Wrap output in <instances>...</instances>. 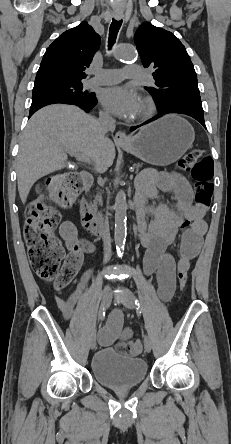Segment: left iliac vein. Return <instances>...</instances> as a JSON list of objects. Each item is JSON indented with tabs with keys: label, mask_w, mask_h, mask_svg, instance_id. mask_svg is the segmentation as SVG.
<instances>
[{
	"label": "left iliac vein",
	"mask_w": 231,
	"mask_h": 444,
	"mask_svg": "<svg viewBox=\"0 0 231 444\" xmlns=\"http://www.w3.org/2000/svg\"><path fill=\"white\" fill-rule=\"evenodd\" d=\"M121 288H122L121 295L123 297L126 307L130 310H133L135 308V304L131 291L125 286H122ZM143 340H144V349L147 353H149L152 349L151 340L148 335H144Z\"/></svg>",
	"instance_id": "left-iliac-vein-1"
}]
</instances>
